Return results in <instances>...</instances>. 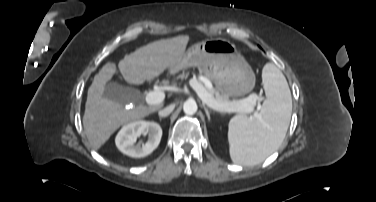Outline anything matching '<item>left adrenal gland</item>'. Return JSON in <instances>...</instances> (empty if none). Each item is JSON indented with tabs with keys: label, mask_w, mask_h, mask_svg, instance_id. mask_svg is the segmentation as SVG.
I'll return each instance as SVG.
<instances>
[{
	"label": "left adrenal gland",
	"mask_w": 376,
	"mask_h": 202,
	"mask_svg": "<svg viewBox=\"0 0 376 202\" xmlns=\"http://www.w3.org/2000/svg\"><path fill=\"white\" fill-rule=\"evenodd\" d=\"M203 108L205 110V113H206V116H207L208 120L210 121V113H209L208 108L205 106V104H203Z\"/></svg>",
	"instance_id": "a2214340"
}]
</instances>
